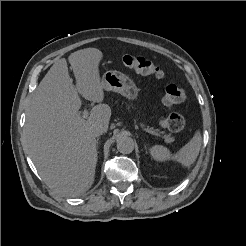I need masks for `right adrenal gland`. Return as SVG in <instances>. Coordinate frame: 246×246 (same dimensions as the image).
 Returning <instances> with one entry per match:
<instances>
[{
	"label": "right adrenal gland",
	"mask_w": 246,
	"mask_h": 246,
	"mask_svg": "<svg viewBox=\"0 0 246 246\" xmlns=\"http://www.w3.org/2000/svg\"><path fill=\"white\" fill-rule=\"evenodd\" d=\"M97 148H99V138L96 140ZM99 153V152H98Z\"/></svg>",
	"instance_id": "2a0ac1e0"
}]
</instances>
